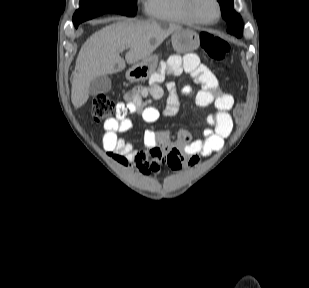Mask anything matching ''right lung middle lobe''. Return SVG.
Returning <instances> with one entry per match:
<instances>
[{"mask_svg": "<svg viewBox=\"0 0 309 288\" xmlns=\"http://www.w3.org/2000/svg\"><path fill=\"white\" fill-rule=\"evenodd\" d=\"M137 0H80V8L73 16L75 27L86 20L104 13H118L135 16Z\"/></svg>", "mask_w": 309, "mask_h": 288, "instance_id": "obj_1", "label": "right lung middle lobe"}]
</instances>
